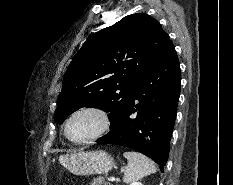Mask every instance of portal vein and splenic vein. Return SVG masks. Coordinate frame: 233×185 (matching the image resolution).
<instances>
[{"mask_svg": "<svg viewBox=\"0 0 233 185\" xmlns=\"http://www.w3.org/2000/svg\"><path fill=\"white\" fill-rule=\"evenodd\" d=\"M108 181L114 182V181H115V177H109V178H108Z\"/></svg>", "mask_w": 233, "mask_h": 185, "instance_id": "obj_1", "label": "portal vein and splenic vein"}]
</instances>
